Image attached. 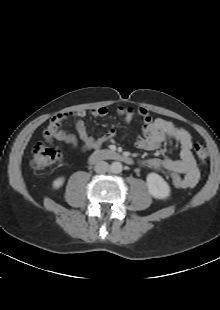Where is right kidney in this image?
I'll return each mask as SVG.
<instances>
[{"label": "right kidney", "mask_w": 220, "mask_h": 310, "mask_svg": "<svg viewBox=\"0 0 220 310\" xmlns=\"http://www.w3.org/2000/svg\"><path fill=\"white\" fill-rule=\"evenodd\" d=\"M64 181H65L64 177L56 178L52 183L53 189H59L64 184Z\"/></svg>", "instance_id": "right-kidney-1"}]
</instances>
